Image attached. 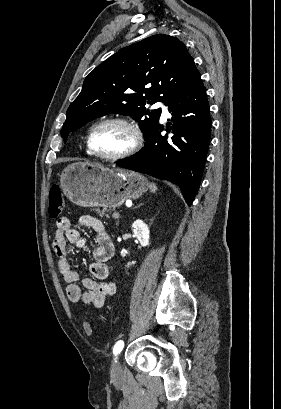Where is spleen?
<instances>
[{
	"mask_svg": "<svg viewBox=\"0 0 281 409\" xmlns=\"http://www.w3.org/2000/svg\"><path fill=\"white\" fill-rule=\"evenodd\" d=\"M150 190L151 192H155V190H157V186L154 184V182H150Z\"/></svg>",
	"mask_w": 281,
	"mask_h": 409,
	"instance_id": "obj_1",
	"label": "spleen"
}]
</instances>
